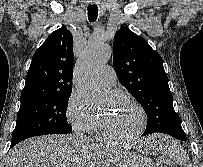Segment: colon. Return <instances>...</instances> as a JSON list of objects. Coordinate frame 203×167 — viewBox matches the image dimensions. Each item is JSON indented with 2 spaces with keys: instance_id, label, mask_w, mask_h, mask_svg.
I'll use <instances>...</instances> for the list:
<instances>
[{
  "instance_id": "1",
  "label": "colon",
  "mask_w": 203,
  "mask_h": 167,
  "mask_svg": "<svg viewBox=\"0 0 203 167\" xmlns=\"http://www.w3.org/2000/svg\"><path fill=\"white\" fill-rule=\"evenodd\" d=\"M157 167H177V166L167 158L161 157L158 159Z\"/></svg>"
}]
</instances>
